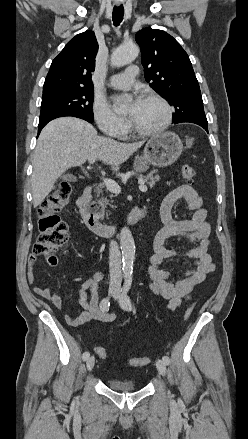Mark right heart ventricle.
<instances>
[{
	"instance_id": "right-heart-ventricle-1",
	"label": "right heart ventricle",
	"mask_w": 248,
	"mask_h": 439,
	"mask_svg": "<svg viewBox=\"0 0 248 439\" xmlns=\"http://www.w3.org/2000/svg\"><path fill=\"white\" fill-rule=\"evenodd\" d=\"M132 133L131 131L127 128L126 131L120 136L121 139H129L131 138Z\"/></svg>"
}]
</instances>
